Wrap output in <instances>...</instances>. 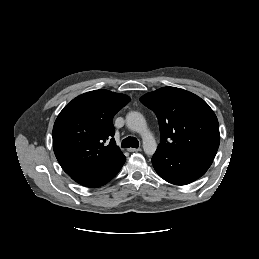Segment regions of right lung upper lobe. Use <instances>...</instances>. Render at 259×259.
<instances>
[{"instance_id": "obj_1", "label": "right lung upper lobe", "mask_w": 259, "mask_h": 259, "mask_svg": "<svg viewBox=\"0 0 259 259\" xmlns=\"http://www.w3.org/2000/svg\"><path fill=\"white\" fill-rule=\"evenodd\" d=\"M129 101L124 94L95 90L63 108L53 127V149L68 175L96 172L123 155L112 138V120Z\"/></svg>"}]
</instances>
